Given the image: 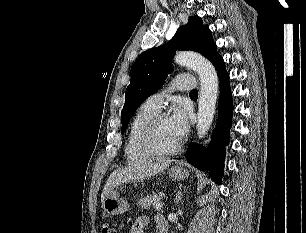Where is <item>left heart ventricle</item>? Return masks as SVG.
<instances>
[{"instance_id":"obj_1","label":"left heart ventricle","mask_w":306,"mask_h":233,"mask_svg":"<svg viewBox=\"0 0 306 233\" xmlns=\"http://www.w3.org/2000/svg\"><path fill=\"white\" fill-rule=\"evenodd\" d=\"M155 141L157 145L164 150L172 149L179 143L170 128L169 119L167 117H163L160 120L155 133Z\"/></svg>"}]
</instances>
